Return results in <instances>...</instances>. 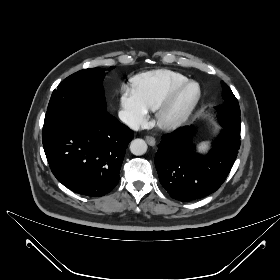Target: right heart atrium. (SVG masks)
<instances>
[{
    "label": "right heart atrium",
    "instance_id": "d8ad5b80",
    "mask_svg": "<svg viewBox=\"0 0 280 280\" xmlns=\"http://www.w3.org/2000/svg\"><path fill=\"white\" fill-rule=\"evenodd\" d=\"M120 104L123 120L132 128L143 125L148 117V110L141 103L132 87L123 85Z\"/></svg>",
    "mask_w": 280,
    "mask_h": 280
}]
</instances>
